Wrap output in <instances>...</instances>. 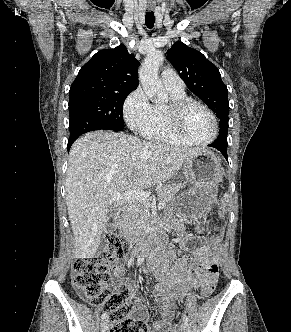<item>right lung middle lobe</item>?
I'll list each match as a JSON object with an SVG mask.
<instances>
[{"mask_svg": "<svg viewBox=\"0 0 291 332\" xmlns=\"http://www.w3.org/2000/svg\"><path fill=\"white\" fill-rule=\"evenodd\" d=\"M129 91L86 94L69 99L70 119L79 112L97 117L105 130L123 131V103Z\"/></svg>", "mask_w": 291, "mask_h": 332, "instance_id": "dd1d6c3e", "label": "right lung middle lobe"}]
</instances>
